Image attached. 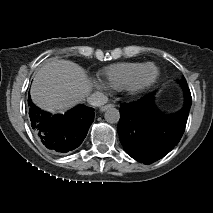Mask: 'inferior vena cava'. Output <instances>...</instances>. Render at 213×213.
Here are the masks:
<instances>
[{
  "label": "inferior vena cava",
  "instance_id": "1",
  "mask_svg": "<svg viewBox=\"0 0 213 213\" xmlns=\"http://www.w3.org/2000/svg\"><path fill=\"white\" fill-rule=\"evenodd\" d=\"M108 102V97L99 91H95L87 97V103L89 105L98 107L106 104Z\"/></svg>",
  "mask_w": 213,
  "mask_h": 213
}]
</instances>
